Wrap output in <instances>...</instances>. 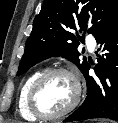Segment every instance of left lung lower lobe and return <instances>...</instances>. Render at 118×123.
<instances>
[{"label": "left lung lower lobe", "instance_id": "0a47b994", "mask_svg": "<svg viewBox=\"0 0 118 123\" xmlns=\"http://www.w3.org/2000/svg\"><path fill=\"white\" fill-rule=\"evenodd\" d=\"M100 44L96 77L89 76L90 65L83 75L87 81V97L83 104L64 122L93 118H109L118 121V17L96 38Z\"/></svg>", "mask_w": 118, "mask_h": 123}]
</instances>
